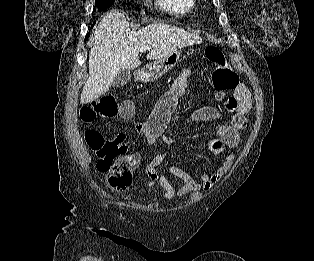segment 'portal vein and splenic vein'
<instances>
[{"label": "portal vein and splenic vein", "mask_w": 314, "mask_h": 261, "mask_svg": "<svg viewBox=\"0 0 314 261\" xmlns=\"http://www.w3.org/2000/svg\"><path fill=\"white\" fill-rule=\"evenodd\" d=\"M150 49V47L149 46H143V47H141V51H145V50H149Z\"/></svg>", "instance_id": "obj_1"}]
</instances>
